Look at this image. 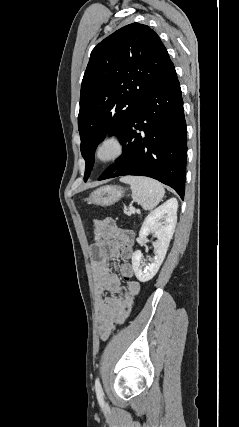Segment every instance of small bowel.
<instances>
[{"instance_id": "small-bowel-1", "label": "small bowel", "mask_w": 239, "mask_h": 427, "mask_svg": "<svg viewBox=\"0 0 239 427\" xmlns=\"http://www.w3.org/2000/svg\"><path fill=\"white\" fill-rule=\"evenodd\" d=\"M97 239L91 245L92 266L97 292V322L100 335L107 338L115 324L123 323L129 316L134 298L140 292V283L133 280V267L128 276L123 275V266L120 267L122 278L126 281L121 286L118 275L112 270L110 260L119 256L131 258L133 255L134 233L130 230L120 229L112 219H104L97 223ZM122 295L118 298L114 295Z\"/></svg>"}]
</instances>
